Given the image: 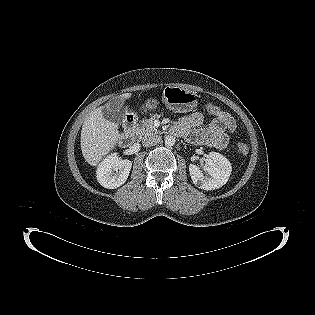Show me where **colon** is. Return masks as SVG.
Segmentation results:
<instances>
[{
    "label": "colon",
    "instance_id": "obj_1",
    "mask_svg": "<svg viewBox=\"0 0 315 315\" xmlns=\"http://www.w3.org/2000/svg\"><path fill=\"white\" fill-rule=\"evenodd\" d=\"M204 106L209 114L215 118L223 119L226 122L229 131H234L237 128V119L229 111L224 112L220 105L215 106L209 101H204ZM236 148L242 155H246L249 151L248 146L244 143H238Z\"/></svg>",
    "mask_w": 315,
    "mask_h": 315
}]
</instances>
